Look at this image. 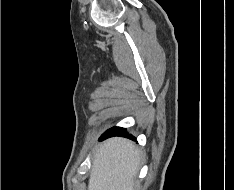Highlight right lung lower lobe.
Returning a JSON list of instances; mask_svg holds the SVG:
<instances>
[{
    "mask_svg": "<svg viewBox=\"0 0 234 190\" xmlns=\"http://www.w3.org/2000/svg\"><path fill=\"white\" fill-rule=\"evenodd\" d=\"M112 136H123V137H127L130 139L135 140V138L130 135L125 128H121V127H113L109 130H107L101 137H100V141L104 140L106 138L112 137Z\"/></svg>",
    "mask_w": 234,
    "mask_h": 190,
    "instance_id": "1",
    "label": "right lung lower lobe"
}]
</instances>
